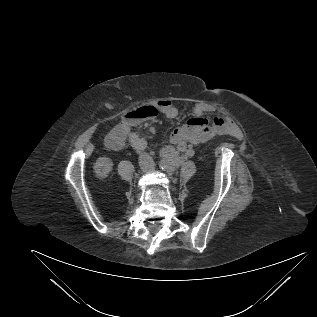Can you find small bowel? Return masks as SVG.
Listing matches in <instances>:
<instances>
[{"instance_id": "1", "label": "small bowel", "mask_w": 317, "mask_h": 317, "mask_svg": "<svg viewBox=\"0 0 317 317\" xmlns=\"http://www.w3.org/2000/svg\"><path fill=\"white\" fill-rule=\"evenodd\" d=\"M160 112L169 119H175L179 115V109L169 99H162L157 102ZM211 111L209 105L205 103H196L192 106V117L183 125L174 129L171 134V145H166L161 151L165 158H191L194 155L193 146L207 142L218 134L235 133L237 128L229 124L221 116L207 118L205 115ZM135 123L129 120L121 122L107 137L106 145L113 149L119 150L124 146L128 139L132 147L138 151L144 150L148 143L134 131ZM118 135L122 138V143L117 149L110 147V138ZM175 147L180 152L175 150Z\"/></svg>"}]
</instances>
